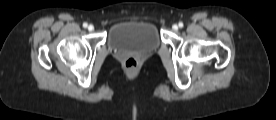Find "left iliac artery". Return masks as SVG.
Instances as JSON below:
<instances>
[{
  "label": "left iliac artery",
  "mask_w": 276,
  "mask_h": 120,
  "mask_svg": "<svg viewBox=\"0 0 276 120\" xmlns=\"http://www.w3.org/2000/svg\"><path fill=\"white\" fill-rule=\"evenodd\" d=\"M179 27L182 28L183 27V23L182 22H179Z\"/></svg>",
  "instance_id": "44dca946"
}]
</instances>
